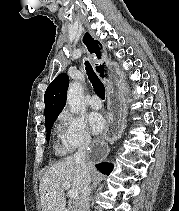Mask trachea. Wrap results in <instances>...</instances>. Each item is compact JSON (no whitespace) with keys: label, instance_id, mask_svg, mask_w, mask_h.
<instances>
[{"label":"trachea","instance_id":"3493384b","mask_svg":"<svg viewBox=\"0 0 179 211\" xmlns=\"http://www.w3.org/2000/svg\"><path fill=\"white\" fill-rule=\"evenodd\" d=\"M85 65H86V71H87L88 78H89L90 82L92 83V86L94 88L95 93L101 99H105V87H104L103 83L96 76V74L94 73V71H93L91 65L89 64V62L86 61Z\"/></svg>","mask_w":179,"mask_h":211}]
</instances>
